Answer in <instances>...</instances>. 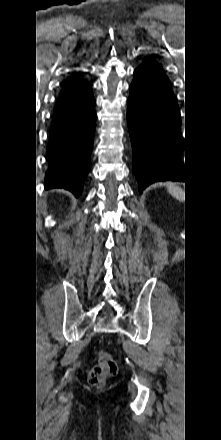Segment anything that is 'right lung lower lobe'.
<instances>
[{"mask_svg": "<svg viewBox=\"0 0 221 440\" xmlns=\"http://www.w3.org/2000/svg\"><path fill=\"white\" fill-rule=\"evenodd\" d=\"M95 98L82 79L67 83L57 100L47 146L46 188H64L81 194L89 172L96 127Z\"/></svg>", "mask_w": 221, "mask_h": 440, "instance_id": "obj_1", "label": "right lung lower lobe"}]
</instances>
